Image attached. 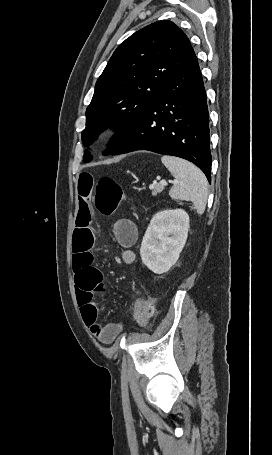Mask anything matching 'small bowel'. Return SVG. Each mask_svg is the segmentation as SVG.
<instances>
[{"label":"small bowel","mask_w":272,"mask_h":455,"mask_svg":"<svg viewBox=\"0 0 272 455\" xmlns=\"http://www.w3.org/2000/svg\"><path fill=\"white\" fill-rule=\"evenodd\" d=\"M96 179L90 172H82L78 177L77 191L79 211L73 236V270L75 273L78 304L86 325L92 334L104 344H110L123 330V322L101 325L98 322L97 298L104 293V278L94 264L92 247L94 235L91 229L90 200L95 190ZM116 241L122 248L121 260L133 264L136 255L132 250L137 241L136 225L129 219H120L113 226Z\"/></svg>","instance_id":"obj_1"}]
</instances>
